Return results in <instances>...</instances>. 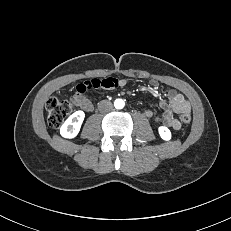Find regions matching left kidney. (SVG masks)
<instances>
[{
  "mask_svg": "<svg viewBox=\"0 0 231 231\" xmlns=\"http://www.w3.org/2000/svg\"><path fill=\"white\" fill-rule=\"evenodd\" d=\"M158 131H159V134H160V136H161L162 139H164V140H170V138H171V132H170V130L167 127L160 126L159 129H158Z\"/></svg>",
  "mask_w": 231,
  "mask_h": 231,
  "instance_id": "1",
  "label": "left kidney"
}]
</instances>
